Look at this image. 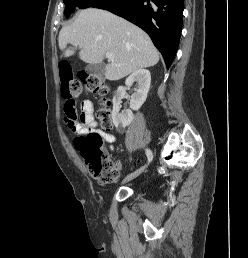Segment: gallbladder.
I'll return each instance as SVG.
<instances>
[{"instance_id":"bac80fb5","label":"gallbladder","mask_w":248,"mask_h":258,"mask_svg":"<svg viewBox=\"0 0 248 258\" xmlns=\"http://www.w3.org/2000/svg\"><path fill=\"white\" fill-rule=\"evenodd\" d=\"M85 70L92 75L103 76L105 72V65L103 63L89 64Z\"/></svg>"}]
</instances>
